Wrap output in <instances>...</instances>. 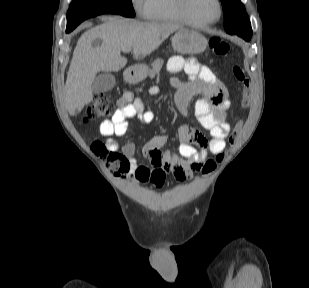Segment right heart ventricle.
<instances>
[{
    "label": "right heart ventricle",
    "mask_w": 309,
    "mask_h": 288,
    "mask_svg": "<svg viewBox=\"0 0 309 288\" xmlns=\"http://www.w3.org/2000/svg\"><path fill=\"white\" fill-rule=\"evenodd\" d=\"M143 15L155 22L186 23L178 11L176 0H147Z\"/></svg>",
    "instance_id": "obj_1"
}]
</instances>
